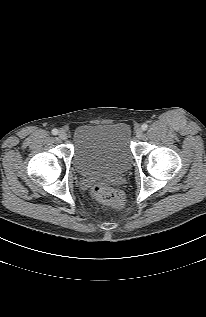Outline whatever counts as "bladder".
<instances>
[{"instance_id":"1","label":"bladder","mask_w":206,"mask_h":317,"mask_svg":"<svg viewBox=\"0 0 206 317\" xmlns=\"http://www.w3.org/2000/svg\"><path fill=\"white\" fill-rule=\"evenodd\" d=\"M73 146V167L81 177L122 174L131 167V131L124 123L80 125Z\"/></svg>"}]
</instances>
